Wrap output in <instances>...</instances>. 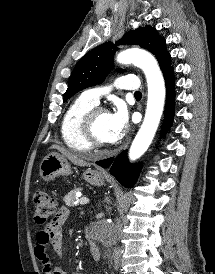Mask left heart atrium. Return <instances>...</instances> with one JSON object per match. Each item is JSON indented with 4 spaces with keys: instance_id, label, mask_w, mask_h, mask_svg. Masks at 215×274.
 Wrapping results in <instances>:
<instances>
[{
    "instance_id": "obj_1",
    "label": "left heart atrium",
    "mask_w": 215,
    "mask_h": 274,
    "mask_svg": "<svg viewBox=\"0 0 215 274\" xmlns=\"http://www.w3.org/2000/svg\"><path fill=\"white\" fill-rule=\"evenodd\" d=\"M128 126V114L124 106H118L109 114L110 141L114 142L123 137Z\"/></svg>"
}]
</instances>
